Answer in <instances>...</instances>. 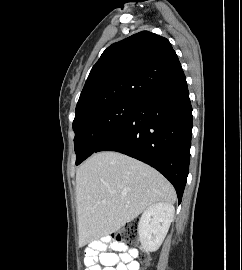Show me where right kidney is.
Masks as SVG:
<instances>
[{
  "instance_id": "ca27d5eb",
  "label": "right kidney",
  "mask_w": 242,
  "mask_h": 270,
  "mask_svg": "<svg viewBox=\"0 0 242 270\" xmlns=\"http://www.w3.org/2000/svg\"><path fill=\"white\" fill-rule=\"evenodd\" d=\"M174 213V206L163 202L154 203L143 212L138 224V234L144 249L153 252L160 247Z\"/></svg>"
}]
</instances>
